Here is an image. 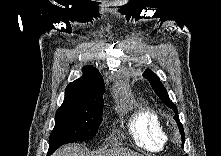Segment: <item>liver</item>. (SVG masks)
Wrapping results in <instances>:
<instances>
[{"instance_id": "6515ba94", "label": "liver", "mask_w": 221, "mask_h": 156, "mask_svg": "<svg viewBox=\"0 0 221 156\" xmlns=\"http://www.w3.org/2000/svg\"><path fill=\"white\" fill-rule=\"evenodd\" d=\"M54 156H141V154L130 149L113 148L107 151L93 153H85L79 145H68L59 149L54 153Z\"/></svg>"}]
</instances>
